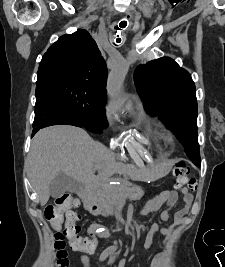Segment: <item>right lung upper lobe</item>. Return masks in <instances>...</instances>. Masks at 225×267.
<instances>
[{
	"label": "right lung upper lobe",
	"instance_id": "cb5924a9",
	"mask_svg": "<svg viewBox=\"0 0 225 267\" xmlns=\"http://www.w3.org/2000/svg\"><path fill=\"white\" fill-rule=\"evenodd\" d=\"M46 77L80 81L106 96V63L86 30L63 35L49 47L40 62L37 80Z\"/></svg>",
	"mask_w": 225,
	"mask_h": 267
}]
</instances>
